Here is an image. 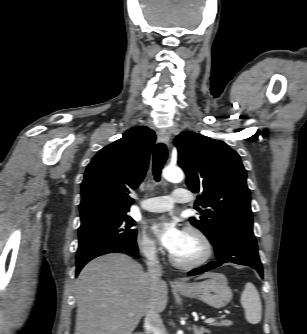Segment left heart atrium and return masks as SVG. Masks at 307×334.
I'll list each match as a JSON object with an SVG mask.
<instances>
[{"label": "left heart atrium", "mask_w": 307, "mask_h": 334, "mask_svg": "<svg viewBox=\"0 0 307 334\" xmlns=\"http://www.w3.org/2000/svg\"><path fill=\"white\" fill-rule=\"evenodd\" d=\"M152 230L160 244L171 253L175 252L183 243L185 232L171 218L155 222Z\"/></svg>", "instance_id": "1"}]
</instances>
